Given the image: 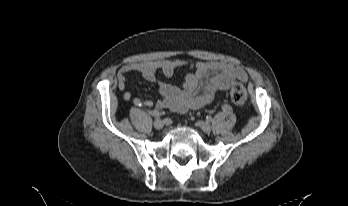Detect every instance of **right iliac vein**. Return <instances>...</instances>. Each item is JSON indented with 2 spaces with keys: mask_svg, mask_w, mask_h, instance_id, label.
I'll list each match as a JSON object with an SVG mask.
<instances>
[{
  "mask_svg": "<svg viewBox=\"0 0 348 206\" xmlns=\"http://www.w3.org/2000/svg\"><path fill=\"white\" fill-rule=\"evenodd\" d=\"M155 129L160 130L164 126V122L162 120H155L153 123Z\"/></svg>",
  "mask_w": 348,
  "mask_h": 206,
  "instance_id": "right-iliac-vein-1",
  "label": "right iliac vein"
}]
</instances>
